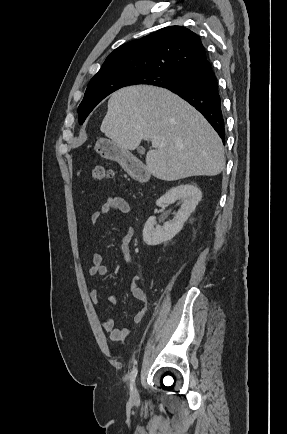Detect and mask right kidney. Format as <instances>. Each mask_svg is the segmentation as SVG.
I'll use <instances>...</instances> for the list:
<instances>
[{"label":"right kidney","instance_id":"right-kidney-1","mask_svg":"<svg viewBox=\"0 0 287 434\" xmlns=\"http://www.w3.org/2000/svg\"><path fill=\"white\" fill-rule=\"evenodd\" d=\"M201 198L202 192L194 184H182L167 191L156 201V205L162 206L179 200L180 209L175 213L173 220L165 222L163 226L156 225L155 217H149L143 228V241L154 246L171 240L181 231Z\"/></svg>","mask_w":287,"mask_h":434}]
</instances>
